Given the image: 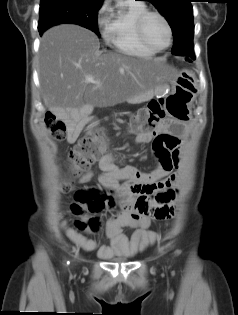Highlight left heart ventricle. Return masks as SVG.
Segmentation results:
<instances>
[{"label": "left heart ventricle", "instance_id": "b2bd125f", "mask_svg": "<svg viewBox=\"0 0 238 315\" xmlns=\"http://www.w3.org/2000/svg\"><path fill=\"white\" fill-rule=\"evenodd\" d=\"M145 35L148 41L155 47L162 48L168 42V32L163 21L151 16L145 24Z\"/></svg>", "mask_w": 238, "mask_h": 315}]
</instances>
